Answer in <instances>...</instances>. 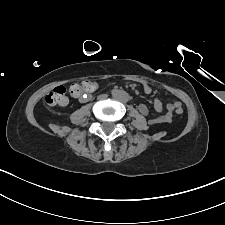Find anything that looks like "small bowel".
<instances>
[{
  "label": "small bowel",
  "mask_w": 225,
  "mask_h": 225,
  "mask_svg": "<svg viewBox=\"0 0 225 225\" xmlns=\"http://www.w3.org/2000/svg\"><path fill=\"white\" fill-rule=\"evenodd\" d=\"M94 88L90 92L92 93L97 88V84L93 82ZM142 87L145 93L149 94L152 91V88L148 82H142ZM85 98H87V95L81 96L79 99L81 101H84ZM154 109L160 113V115L157 118L149 120L151 124L156 123H164V122H170L173 118V112L176 109V107L180 106V101L177 99H173L170 103L167 104L166 108L164 109L162 102L159 99H155L153 102ZM139 111L143 115H148L149 110L148 107L144 104L139 105L138 107Z\"/></svg>",
  "instance_id": "small-bowel-1"
}]
</instances>
